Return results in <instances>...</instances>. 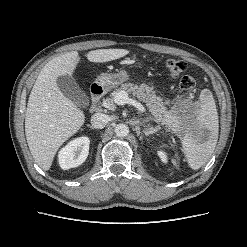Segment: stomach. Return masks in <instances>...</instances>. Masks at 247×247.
I'll return each mask as SVG.
<instances>
[{
	"mask_svg": "<svg viewBox=\"0 0 247 247\" xmlns=\"http://www.w3.org/2000/svg\"><path fill=\"white\" fill-rule=\"evenodd\" d=\"M128 78L129 76L125 70L120 71L118 73H102L96 78L95 83L101 86L102 88L108 90L119 86L120 84L128 80ZM171 114L172 124L169 126L170 129L182 136L192 129L194 119L187 120V118L177 116L172 112Z\"/></svg>",
	"mask_w": 247,
	"mask_h": 247,
	"instance_id": "0dacf381",
	"label": "stomach"
}]
</instances>
